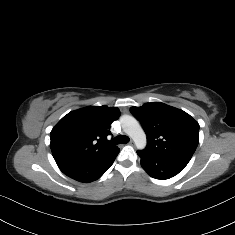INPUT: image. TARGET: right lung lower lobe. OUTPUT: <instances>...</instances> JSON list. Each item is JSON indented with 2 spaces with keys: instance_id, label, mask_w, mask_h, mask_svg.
<instances>
[{
  "instance_id": "right-lung-lower-lobe-1",
  "label": "right lung lower lobe",
  "mask_w": 235,
  "mask_h": 235,
  "mask_svg": "<svg viewBox=\"0 0 235 235\" xmlns=\"http://www.w3.org/2000/svg\"><path fill=\"white\" fill-rule=\"evenodd\" d=\"M116 157L98 163H57L60 170L68 177L84 183L99 179L113 164Z\"/></svg>"
}]
</instances>
